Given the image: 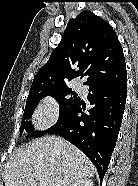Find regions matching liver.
<instances>
[{"instance_id":"obj_1","label":"liver","mask_w":138,"mask_h":186,"mask_svg":"<svg viewBox=\"0 0 138 186\" xmlns=\"http://www.w3.org/2000/svg\"><path fill=\"white\" fill-rule=\"evenodd\" d=\"M95 167L74 145L65 139L46 136L21 147L5 167V186H69L93 177Z\"/></svg>"}]
</instances>
